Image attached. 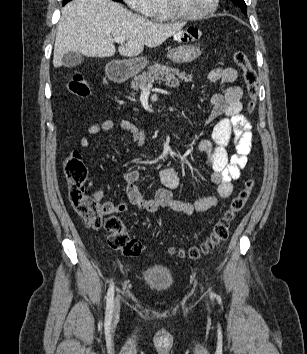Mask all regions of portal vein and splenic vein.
Segmentation results:
<instances>
[{
	"mask_svg": "<svg viewBox=\"0 0 307 354\" xmlns=\"http://www.w3.org/2000/svg\"><path fill=\"white\" fill-rule=\"evenodd\" d=\"M125 38L124 37H115L114 39H113V41L114 42H116V43H119V44H123L124 42H125ZM152 89V83L151 82H149L148 84H146L143 88H142V90L143 91H145V92H148V91H150Z\"/></svg>",
	"mask_w": 307,
	"mask_h": 354,
	"instance_id": "obj_1",
	"label": "portal vein and splenic vein"
}]
</instances>
